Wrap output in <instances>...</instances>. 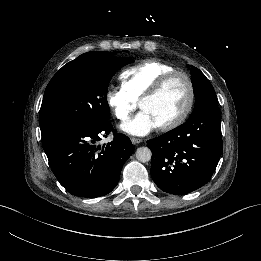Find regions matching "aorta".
<instances>
[{
  "label": "aorta",
  "mask_w": 261,
  "mask_h": 261,
  "mask_svg": "<svg viewBox=\"0 0 261 261\" xmlns=\"http://www.w3.org/2000/svg\"><path fill=\"white\" fill-rule=\"evenodd\" d=\"M151 150L148 147H140L136 151V159L141 163H146L151 160Z\"/></svg>",
  "instance_id": "762f6f07"
}]
</instances>
